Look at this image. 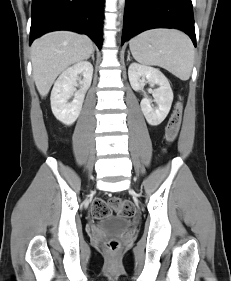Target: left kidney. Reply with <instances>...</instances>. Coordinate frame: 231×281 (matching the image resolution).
<instances>
[{
	"instance_id": "5707ae66",
	"label": "left kidney",
	"mask_w": 231,
	"mask_h": 281,
	"mask_svg": "<svg viewBox=\"0 0 231 281\" xmlns=\"http://www.w3.org/2000/svg\"><path fill=\"white\" fill-rule=\"evenodd\" d=\"M128 76L135 91H143L146 83L150 86H159L152 91L157 107H153L152 100L147 97L141 100L140 106L148 124L152 126L161 124L168 115L173 101V92L168 79L159 69L138 63L130 64Z\"/></svg>"
}]
</instances>
